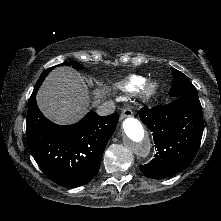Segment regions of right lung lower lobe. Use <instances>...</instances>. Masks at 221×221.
Returning a JSON list of instances; mask_svg holds the SVG:
<instances>
[{"mask_svg":"<svg viewBox=\"0 0 221 221\" xmlns=\"http://www.w3.org/2000/svg\"><path fill=\"white\" fill-rule=\"evenodd\" d=\"M36 84L29 99L27 140L30 151L53 182L68 188L87 184L98 173L107 142L115 131L118 114L105 117L89 112L73 125H57L39 110Z\"/></svg>","mask_w":221,"mask_h":221,"instance_id":"obj_1","label":"right lung lower lobe"}]
</instances>
